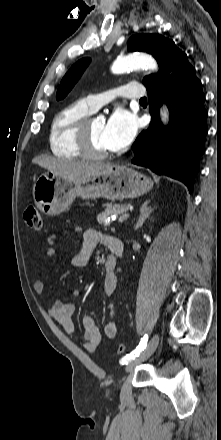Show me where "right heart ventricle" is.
Instances as JSON below:
<instances>
[{
  "instance_id": "1",
  "label": "right heart ventricle",
  "mask_w": 221,
  "mask_h": 440,
  "mask_svg": "<svg viewBox=\"0 0 221 440\" xmlns=\"http://www.w3.org/2000/svg\"><path fill=\"white\" fill-rule=\"evenodd\" d=\"M93 112L86 100L81 99L56 113L49 132V147L55 156L66 159L84 157L76 143V126L82 118Z\"/></svg>"
}]
</instances>
